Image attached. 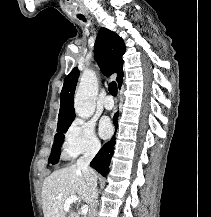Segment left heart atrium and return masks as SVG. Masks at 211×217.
I'll return each mask as SVG.
<instances>
[{"label": "left heart atrium", "mask_w": 211, "mask_h": 217, "mask_svg": "<svg viewBox=\"0 0 211 217\" xmlns=\"http://www.w3.org/2000/svg\"><path fill=\"white\" fill-rule=\"evenodd\" d=\"M99 132L103 138H108L112 134V124L108 118H103L100 121Z\"/></svg>", "instance_id": "left-heart-atrium-1"}]
</instances>
